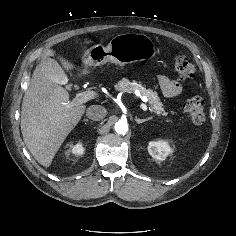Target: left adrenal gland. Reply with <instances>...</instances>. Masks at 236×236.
<instances>
[{"mask_svg": "<svg viewBox=\"0 0 236 236\" xmlns=\"http://www.w3.org/2000/svg\"><path fill=\"white\" fill-rule=\"evenodd\" d=\"M152 119V117H148V118H146V119H139V118H135V121L138 123V124H142V123H144V122H146V121H149V120H151Z\"/></svg>", "mask_w": 236, "mask_h": 236, "instance_id": "a2214340", "label": "left adrenal gland"}]
</instances>
